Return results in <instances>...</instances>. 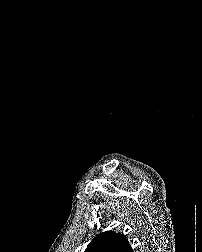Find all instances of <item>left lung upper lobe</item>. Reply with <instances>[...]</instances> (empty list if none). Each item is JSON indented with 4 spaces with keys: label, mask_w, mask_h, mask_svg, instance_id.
I'll return each mask as SVG.
<instances>
[{
    "label": "left lung upper lobe",
    "mask_w": 202,
    "mask_h": 252,
    "mask_svg": "<svg viewBox=\"0 0 202 252\" xmlns=\"http://www.w3.org/2000/svg\"><path fill=\"white\" fill-rule=\"evenodd\" d=\"M85 252H133V249L125 235L106 231L93 238Z\"/></svg>",
    "instance_id": "5c2ea615"
}]
</instances>
